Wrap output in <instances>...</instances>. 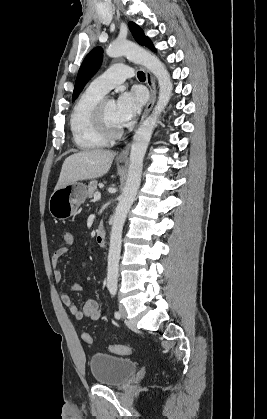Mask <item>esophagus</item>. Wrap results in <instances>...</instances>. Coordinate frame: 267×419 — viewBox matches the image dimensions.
Wrapping results in <instances>:
<instances>
[{
	"instance_id": "1",
	"label": "esophagus",
	"mask_w": 267,
	"mask_h": 419,
	"mask_svg": "<svg viewBox=\"0 0 267 419\" xmlns=\"http://www.w3.org/2000/svg\"><path fill=\"white\" fill-rule=\"evenodd\" d=\"M145 75H146V83L147 86L150 90V99L149 102L146 105V108L144 110V113L142 115V119L141 121H143L147 115L149 114V112L151 111L155 100H156V84H155V79L152 76V74L148 71L145 70ZM129 148H130V142H127L126 146L123 148V150L118 154V158L119 159H127L128 155H129Z\"/></svg>"
}]
</instances>
